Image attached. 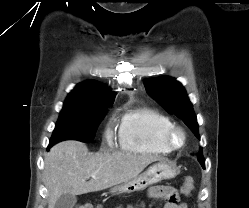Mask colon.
I'll use <instances>...</instances> for the list:
<instances>
[{
	"mask_svg": "<svg viewBox=\"0 0 249 208\" xmlns=\"http://www.w3.org/2000/svg\"><path fill=\"white\" fill-rule=\"evenodd\" d=\"M194 189V180L191 176H187L181 187V192L184 195H189ZM77 208H93L91 204H81Z\"/></svg>",
	"mask_w": 249,
	"mask_h": 208,
	"instance_id": "5ec220e1",
	"label": "colon"
}]
</instances>
